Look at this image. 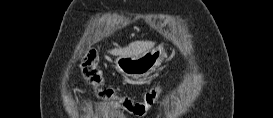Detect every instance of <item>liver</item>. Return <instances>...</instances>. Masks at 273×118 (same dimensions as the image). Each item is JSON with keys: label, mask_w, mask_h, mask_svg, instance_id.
I'll return each instance as SVG.
<instances>
[{"label": "liver", "mask_w": 273, "mask_h": 118, "mask_svg": "<svg viewBox=\"0 0 273 118\" xmlns=\"http://www.w3.org/2000/svg\"><path fill=\"white\" fill-rule=\"evenodd\" d=\"M154 45L152 41H135L124 48L112 49L109 53L115 56H138L151 50Z\"/></svg>", "instance_id": "6515ba94"}]
</instances>
